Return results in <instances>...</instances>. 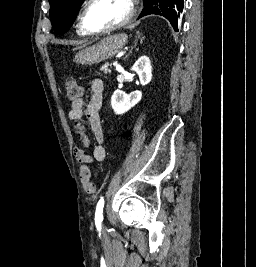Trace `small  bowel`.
<instances>
[{"label": "small bowel", "instance_id": "c3829d8e", "mask_svg": "<svg viewBox=\"0 0 256 267\" xmlns=\"http://www.w3.org/2000/svg\"><path fill=\"white\" fill-rule=\"evenodd\" d=\"M103 90V80L101 78H94L90 82L89 99L85 102L82 98H78L71 103V110L68 114L69 120L73 122V118H87L97 141V145L93 149V154H86L85 151L91 148V138L84 130L80 132V129L83 128H77L75 126L76 123H74L73 132L78 136L80 142V146L75 148V157L80 163L102 162L107 157L106 149L103 146V131L100 120ZM82 134H85V137H82Z\"/></svg>", "mask_w": 256, "mask_h": 267}]
</instances>
